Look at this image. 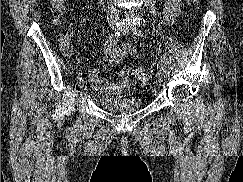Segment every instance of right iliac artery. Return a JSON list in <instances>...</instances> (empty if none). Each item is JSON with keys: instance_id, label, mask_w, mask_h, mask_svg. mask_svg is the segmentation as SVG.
I'll list each match as a JSON object with an SVG mask.
<instances>
[{"instance_id": "1", "label": "right iliac artery", "mask_w": 243, "mask_h": 182, "mask_svg": "<svg viewBox=\"0 0 243 182\" xmlns=\"http://www.w3.org/2000/svg\"><path fill=\"white\" fill-rule=\"evenodd\" d=\"M120 35H121V31L116 30L114 33L108 36V40L118 39ZM81 80H82V72L79 73V75L77 76V83H80Z\"/></svg>"}]
</instances>
